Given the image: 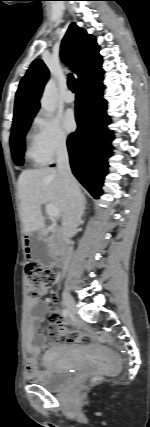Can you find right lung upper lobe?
I'll list each match as a JSON object with an SVG mask.
<instances>
[{"label":"right lung upper lobe","instance_id":"1","mask_svg":"<svg viewBox=\"0 0 150 427\" xmlns=\"http://www.w3.org/2000/svg\"><path fill=\"white\" fill-rule=\"evenodd\" d=\"M99 49L100 47L92 35L87 34L75 23H71L62 41L61 56L68 61L74 73L78 75L77 84L79 86L86 84L103 72ZM48 78L49 71L43 61L34 60L20 81L15 97L13 123L35 116L39 110V99Z\"/></svg>","mask_w":150,"mask_h":427}]
</instances>
